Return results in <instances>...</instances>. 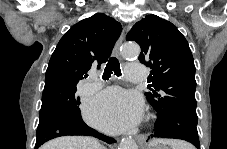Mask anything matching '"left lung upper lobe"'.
<instances>
[{
    "instance_id": "1",
    "label": "left lung upper lobe",
    "mask_w": 227,
    "mask_h": 149,
    "mask_svg": "<svg viewBox=\"0 0 227 149\" xmlns=\"http://www.w3.org/2000/svg\"><path fill=\"white\" fill-rule=\"evenodd\" d=\"M126 40L140 45L139 60L151 68V92L145 95L156 111L179 109L196 113L194 60L178 29L151 14L133 26Z\"/></svg>"
}]
</instances>
